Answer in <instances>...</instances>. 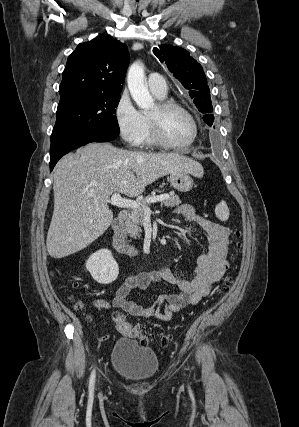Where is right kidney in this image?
Returning <instances> with one entry per match:
<instances>
[{
	"label": "right kidney",
	"instance_id": "right-kidney-1",
	"mask_svg": "<svg viewBox=\"0 0 299 427\" xmlns=\"http://www.w3.org/2000/svg\"><path fill=\"white\" fill-rule=\"evenodd\" d=\"M86 269L96 282L104 285L115 281L119 274L118 264L108 249L93 253L86 261Z\"/></svg>",
	"mask_w": 299,
	"mask_h": 427
}]
</instances>
